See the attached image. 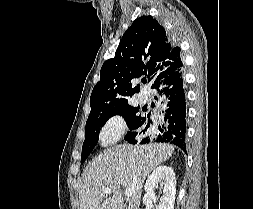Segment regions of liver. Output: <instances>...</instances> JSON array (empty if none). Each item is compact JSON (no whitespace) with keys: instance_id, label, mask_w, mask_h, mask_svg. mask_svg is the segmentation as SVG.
I'll return each mask as SVG.
<instances>
[{"instance_id":"1","label":"liver","mask_w":253,"mask_h":209,"mask_svg":"<svg viewBox=\"0 0 253 209\" xmlns=\"http://www.w3.org/2000/svg\"><path fill=\"white\" fill-rule=\"evenodd\" d=\"M173 153V145L157 143L108 148L84 172L79 190L80 209H125L121 186L133 192L126 209H139L146 177ZM106 187H111L109 197L104 192Z\"/></svg>"}]
</instances>
